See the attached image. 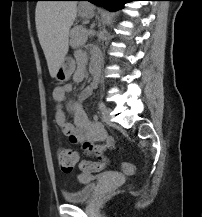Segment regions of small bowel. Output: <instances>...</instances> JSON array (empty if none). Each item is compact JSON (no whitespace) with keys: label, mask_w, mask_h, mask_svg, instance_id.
<instances>
[{"label":"small bowel","mask_w":202,"mask_h":217,"mask_svg":"<svg viewBox=\"0 0 202 217\" xmlns=\"http://www.w3.org/2000/svg\"><path fill=\"white\" fill-rule=\"evenodd\" d=\"M77 61L78 67L73 74V80L80 82L85 76V56L79 53ZM92 64L98 66L96 61ZM97 84L98 81L92 82L85 87L81 91L79 99L82 101L89 98L93 94ZM70 91L71 85L58 86L53 91V98L56 102V123L61 132L68 135L73 143L80 145L85 153L97 155L104 163H107L108 161L102 157V153L107 149L114 148L113 138L107 135L99 123L97 116H94L93 119L88 118L79 101L71 100L67 103V110L73 115V123L67 120L62 104L66 101Z\"/></svg>","instance_id":"1"}]
</instances>
